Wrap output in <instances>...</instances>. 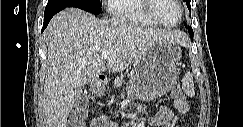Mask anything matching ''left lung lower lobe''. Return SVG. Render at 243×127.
Listing matches in <instances>:
<instances>
[{
  "label": "left lung lower lobe",
  "mask_w": 243,
  "mask_h": 127,
  "mask_svg": "<svg viewBox=\"0 0 243 127\" xmlns=\"http://www.w3.org/2000/svg\"><path fill=\"white\" fill-rule=\"evenodd\" d=\"M189 34H190V37L193 39V30H192V28L191 29L189 28Z\"/></svg>",
  "instance_id": "obj_1"
}]
</instances>
